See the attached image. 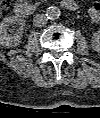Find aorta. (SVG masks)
Segmentation results:
<instances>
[{"mask_svg":"<svg viewBox=\"0 0 100 118\" xmlns=\"http://www.w3.org/2000/svg\"><path fill=\"white\" fill-rule=\"evenodd\" d=\"M46 17L49 20H56L60 17L61 15V10L60 8L56 6H50L46 9Z\"/></svg>","mask_w":100,"mask_h":118,"instance_id":"762f6f07","label":"aorta"}]
</instances>
